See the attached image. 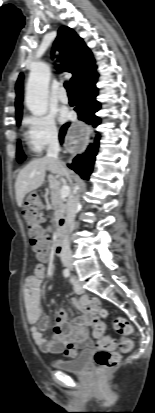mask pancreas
<instances>
[{"instance_id":"pancreas-1","label":"pancreas","mask_w":155,"mask_h":413,"mask_svg":"<svg viewBox=\"0 0 155 413\" xmlns=\"http://www.w3.org/2000/svg\"><path fill=\"white\" fill-rule=\"evenodd\" d=\"M50 195L51 203L49 207L53 208L55 212V220L58 222L60 219L64 217L67 208L65 200H63L60 197V185L58 183L55 185L54 188H51Z\"/></svg>"}]
</instances>
